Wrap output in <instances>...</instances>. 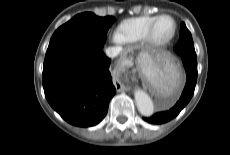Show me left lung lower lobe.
I'll use <instances>...</instances> for the list:
<instances>
[{
  "mask_svg": "<svg viewBox=\"0 0 230 155\" xmlns=\"http://www.w3.org/2000/svg\"><path fill=\"white\" fill-rule=\"evenodd\" d=\"M181 57L186 71V85L179 101L168 111L155 113L151 117H144L143 119L146 122L150 124H163L172 120L192 98L197 81V59L196 56L192 55H184Z\"/></svg>",
  "mask_w": 230,
  "mask_h": 155,
  "instance_id": "0a47b994",
  "label": "left lung lower lobe"
}]
</instances>
